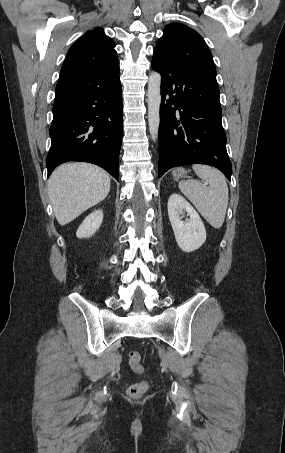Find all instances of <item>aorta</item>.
I'll use <instances>...</instances> for the list:
<instances>
[{
	"label": "aorta",
	"instance_id": "1",
	"mask_svg": "<svg viewBox=\"0 0 285 453\" xmlns=\"http://www.w3.org/2000/svg\"><path fill=\"white\" fill-rule=\"evenodd\" d=\"M161 104V75L153 71L148 81V124L153 141L158 138Z\"/></svg>",
	"mask_w": 285,
	"mask_h": 453
}]
</instances>
